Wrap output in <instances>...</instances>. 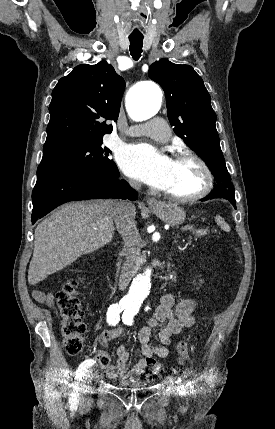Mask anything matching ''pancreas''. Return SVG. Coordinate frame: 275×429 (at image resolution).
Masks as SVG:
<instances>
[{"mask_svg":"<svg viewBox=\"0 0 275 429\" xmlns=\"http://www.w3.org/2000/svg\"><path fill=\"white\" fill-rule=\"evenodd\" d=\"M194 233H195V237L199 238V237L206 236L208 234V230L199 229V230H195Z\"/></svg>","mask_w":275,"mask_h":429,"instance_id":"cf45deb5","label":"pancreas"}]
</instances>
